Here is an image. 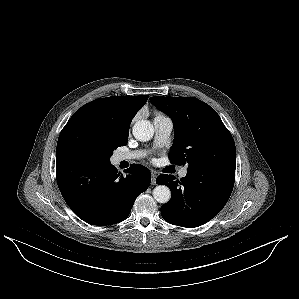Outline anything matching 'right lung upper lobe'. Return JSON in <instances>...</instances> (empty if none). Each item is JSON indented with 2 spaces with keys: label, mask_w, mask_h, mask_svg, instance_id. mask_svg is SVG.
Listing matches in <instances>:
<instances>
[{
  "label": "right lung upper lobe",
  "mask_w": 299,
  "mask_h": 299,
  "mask_svg": "<svg viewBox=\"0 0 299 299\" xmlns=\"http://www.w3.org/2000/svg\"><path fill=\"white\" fill-rule=\"evenodd\" d=\"M147 99V95L96 99L82 106L69 119L60 134L77 133L87 125L95 124L119 139L128 138L130 123ZM57 160L64 158L56 151Z\"/></svg>",
  "instance_id": "1"
}]
</instances>
